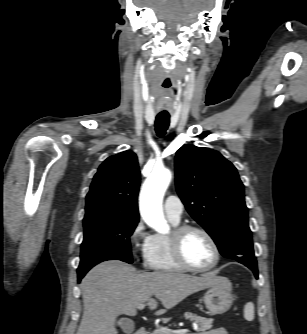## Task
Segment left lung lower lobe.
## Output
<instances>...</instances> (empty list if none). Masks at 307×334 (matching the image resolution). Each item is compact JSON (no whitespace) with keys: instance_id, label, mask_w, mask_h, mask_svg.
Wrapping results in <instances>:
<instances>
[{"instance_id":"left-lung-lower-lobe-1","label":"left lung lower lobe","mask_w":307,"mask_h":334,"mask_svg":"<svg viewBox=\"0 0 307 334\" xmlns=\"http://www.w3.org/2000/svg\"><path fill=\"white\" fill-rule=\"evenodd\" d=\"M248 268H250L253 272L256 278H258V270H257V266H247Z\"/></svg>"}]
</instances>
